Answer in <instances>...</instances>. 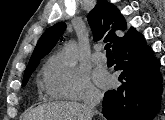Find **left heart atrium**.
Here are the masks:
<instances>
[{"label":"left heart atrium","instance_id":"obj_1","mask_svg":"<svg viewBox=\"0 0 165 120\" xmlns=\"http://www.w3.org/2000/svg\"><path fill=\"white\" fill-rule=\"evenodd\" d=\"M95 80L97 84L100 85L101 87H108L112 82L111 77L106 72L103 71L96 72Z\"/></svg>","mask_w":165,"mask_h":120}]
</instances>
